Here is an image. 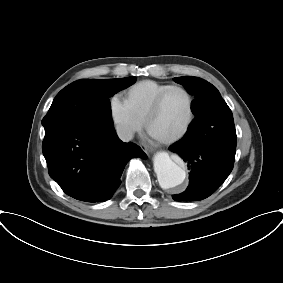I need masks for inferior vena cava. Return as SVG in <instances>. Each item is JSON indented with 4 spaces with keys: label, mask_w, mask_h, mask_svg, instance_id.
I'll list each match as a JSON object with an SVG mask.
<instances>
[{
    "label": "inferior vena cava",
    "mask_w": 283,
    "mask_h": 283,
    "mask_svg": "<svg viewBox=\"0 0 283 283\" xmlns=\"http://www.w3.org/2000/svg\"><path fill=\"white\" fill-rule=\"evenodd\" d=\"M117 134L119 138L124 141L128 142L133 139L134 133L131 129L124 127V126H118L117 127Z\"/></svg>",
    "instance_id": "inferior-vena-cava-1"
}]
</instances>
